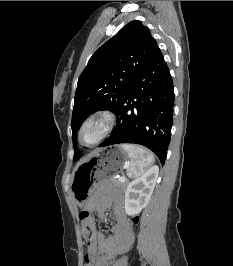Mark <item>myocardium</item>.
<instances>
[{"label":"myocardium","mask_w":233,"mask_h":266,"mask_svg":"<svg viewBox=\"0 0 233 266\" xmlns=\"http://www.w3.org/2000/svg\"><path fill=\"white\" fill-rule=\"evenodd\" d=\"M92 123H101L102 126L101 132L94 141L90 143H85L82 138V133L84 129ZM115 124H116V114L113 110L111 109L97 110L91 113L80 125L77 134L78 141L84 147L96 146L100 144L102 141H104L110 135Z\"/></svg>","instance_id":"obj_1"}]
</instances>
